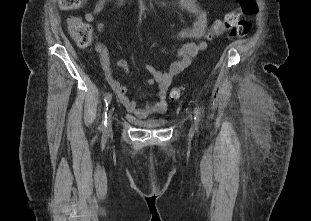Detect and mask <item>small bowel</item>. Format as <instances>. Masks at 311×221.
<instances>
[{
	"label": "small bowel",
	"mask_w": 311,
	"mask_h": 221,
	"mask_svg": "<svg viewBox=\"0 0 311 221\" xmlns=\"http://www.w3.org/2000/svg\"><path fill=\"white\" fill-rule=\"evenodd\" d=\"M109 1L110 0H98L92 11L85 14V20L90 23L94 22ZM119 1L120 0H116L115 2ZM176 2L180 9L197 17L194 25L191 28L182 30L179 33V37L181 39H193L196 41L183 44L177 51L176 59L170 63L166 71H159L152 64H147L145 66L147 72L151 75V78L146 81V84L157 85L156 101L153 104L139 107L134 100L127 96V89L122 83L116 80H111V85L119 101L129 113L137 118H145L152 114H163L167 109V94L172 80L184 69L190 66L192 60L199 53L207 49V43L203 40L208 27L207 14L196 0H177ZM97 30L102 32L104 30V24L98 23ZM96 51L99 55L103 70L107 76H110L112 67L106 46L99 43L96 46ZM117 65L123 72H128V64L126 60H118Z\"/></svg>",
	"instance_id": "small-bowel-1"
}]
</instances>
